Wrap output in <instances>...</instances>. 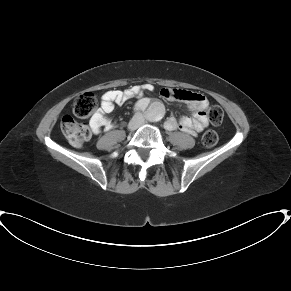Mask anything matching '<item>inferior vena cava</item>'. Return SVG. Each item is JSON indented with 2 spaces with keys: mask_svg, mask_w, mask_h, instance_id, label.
Returning a JSON list of instances; mask_svg holds the SVG:
<instances>
[{
  "mask_svg": "<svg viewBox=\"0 0 291 291\" xmlns=\"http://www.w3.org/2000/svg\"><path fill=\"white\" fill-rule=\"evenodd\" d=\"M135 119L137 120L136 126H140L143 124L144 120L142 119V117L140 115H136Z\"/></svg>",
  "mask_w": 291,
  "mask_h": 291,
  "instance_id": "602c4592",
  "label": "inferior vena cava"
}]
</instances>
